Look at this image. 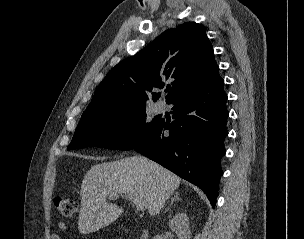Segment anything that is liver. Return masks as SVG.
<instances>
[{
  "mask_svg": "<svg viewBox=\"0 0 304 239\" xmlns=\"http://www.w3.org/2000/svg\"><path fill=\"white\" fill-rule=\"evenodd\" d=\"M179 184L177 175L139 155L96 164L81 184L79 232L98 231L123 213L122 207L107 202L108 195L139 196L146 201L148 212L156 215Z\"/></svg>",
  "mask_w": 304,
  "mask_h": 239,
  "instance_id": "6515ba94",
  "label": "liver"
}]
</instances>
